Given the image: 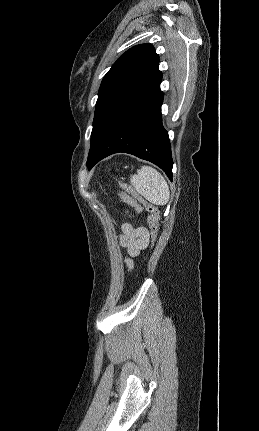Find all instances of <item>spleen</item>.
<instances>
[{
	"mask_svg": "<svg viewBox=\"0 0 259 431\" xmlns=\"http://www.w3.org/2000/svg\"><path fill=\"white\" fill-rule=\"evenodd\" d=\"M130 182L139 194L155 205H165L169 201L168 184L153 167L143 165L137 174L131 176Z\"/></svg>",
	"mask_w": 259,
	"mask_h": 431,
	"instance_id": "1",
	"label": "spleen"
}]
</instances>
